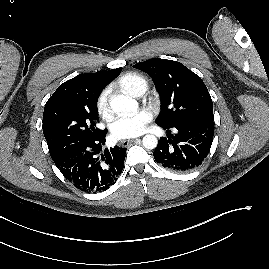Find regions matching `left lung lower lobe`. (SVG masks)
<instances>
[{"instance_id": "1", "label": "left lung lower lobe", "mask_w": 269, "mask_h": 269, "mask_svg": "<svg viewBox=\"0 0 269 269\" xmlns=\"http://www.w3.org/2000/svg\"><path fill=\"white\" fill-rule=\"evenodd\" d=\"M173 128L177 133L172 135L168 130V138H160L153 156L158 163L169 170L192 171L202 164L210 151L214 135V121H186Z\"/></svg>"}]
</instances>
